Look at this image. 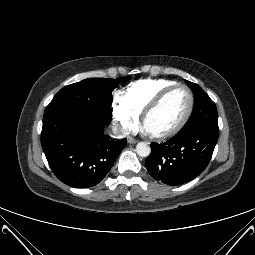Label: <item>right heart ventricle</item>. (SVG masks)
<instances>
[{"label":"right heart ventricle","mask_w":255,"mask_h":255,"mask_svg":"<svg viewBox=\"0 0 255 255\" xmlns=\"http://www.w3.org/2000/svg\"><path fill=\"white\" fill-rule=\"evenodd\" d=\"M177 84L171 80H139L129 84L122 92V100L137 114H141L145 107L164 89Z\"/></svg>","instance_id":"1"}]
</instances>
